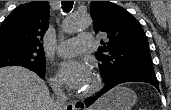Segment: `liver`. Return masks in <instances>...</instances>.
I'll list each match as a JSON object with an SVG mask.
<instances>
[{
  "mask_svg": "<svg viewBox=\"0 0 171 110\" xmlns=\"http://www.w3.org/2000/svg\"><path fill=\"white\" fill-rule=\"evenodd\" d=\"M97 101L91 110L102 105ZM54 100L45 82L19 66L0 68V110H54Z\"/></svg>",
  "mask_w": 171,
  "mask_h": 110,
  "instance_id": "obj_1",
  "label": "liver"
}]
</instances>
